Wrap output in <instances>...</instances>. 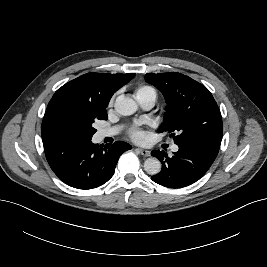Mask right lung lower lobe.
Returning a JSON list of instances; mask_svg holds the SVG:
<instances>
[{"label": "right lung lower lobe", "mask_w": 267, "mask_h": 267, "mask_svg": "<svg viewBox=\"0 0 267 267\" xmlns=\"http://www.w3.org/2000/svg\"><path fill=\"white\" fill-rule=\"evenodd\" d=\"M47 161L54 173L67 185L93 189L114 174L119 157L131 146L117 141L106 146L93 144L91 138H70L60 134L42 135Z\"/></svg>", "instance_id": "right-lung-lower-lobe-1"}]
</instances>
